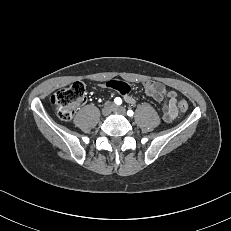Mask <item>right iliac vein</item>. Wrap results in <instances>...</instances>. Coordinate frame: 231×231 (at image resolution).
Wrapping results in <instances>:
<instances>
[{"mask_svg": "<svg viewBox=\"0 0 231 231\" xmlns=\"http://www.w3.org/2000/svg\"><path fill=\"white\" fill-rule=\"evenodd\" d=\"M113 108H114V104L111 102H107L102 108L101 111L102 115L108 116L113 111Z\"/></svg>", "mask_w": 231, "mask_h": 231, "instance_id": "63e3f726", "label": "right iliac vein"}]
</instances>
